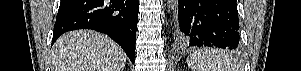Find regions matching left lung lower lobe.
Returning a JSON list of instances; mask_svg holds the SVG:
<instances>
[{"mask_svg": "<svg viewBox=\"0 0 301 71\" xmlns=\"http://www.w3.org/2000/svg\"><path fill=\"white\" fill-rule=\"evenodd\" d=\"M176 27L186 46L232 50L240 44L236 0H178Z\"/></svg>", "mask_w": 301, "mask_h": 71, "instance_id": "1", "label": "left lung lower lobe"}]
</instances>
